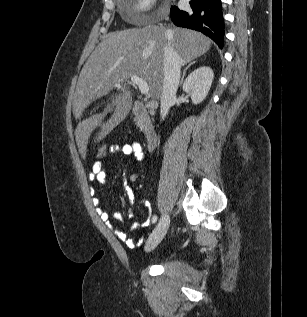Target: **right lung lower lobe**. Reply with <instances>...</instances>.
Returning a JSON list of instances; mask_svg holds the SVG:
<instances>
[{
	"label": "right lung lower lobe",
	"mask_w": 307,
	"mask_h": 317,
	"mask_svg": "<svg viewBox=\"0 0 307 317\" xmlns=\"http://www.w3.org/2000/svg\"><path fill=\"white\" fill-rule=\"evenodd\" d=\"M191 9L179 10L171 7V20L179 27L202 32L210 37L220 48L223 47L224 20L221 0H191Z\"/></svg>",
	"instance_id": "right-lung-lower-lobe-1"
}]
</instances>
